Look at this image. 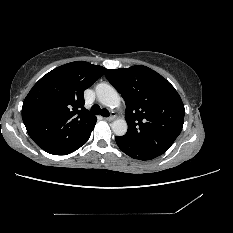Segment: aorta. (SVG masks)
<instances>
[{"instance_id":"aorta-1","label":"aorta","mask_w":233,"mask_h":233,"mask_svg":"<svg viewBox=\"0 0 233 233\" xmlns=\"http://www.w3.org/2000/svg\"><path fill=\"white\" fill-rule=\"evenodd\" d=\"M96 94L99 102L110 108H117L121 104L119 93L109 84L100 83L96 86ZM112 131L117 136H123L127 132V123L124 119H116L111 125Z\"/></svg>"}]
</instances>
